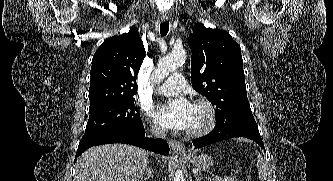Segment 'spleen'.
Listing matches in <instances>:
<instances>
[{"mask_svg": "<svg viewBox=\"0 0 333 181\" xmlns=\"http://www.w3.org/2000/svg\"><path fill=\"white\" fill-rule=\"evenodd\" d=\"M256 154L258 158L257 160L258 178L261 181H265L267 178V163L258 152H256Z\"/></svg>", "mask_w": 333, "mask_h": 181, "instance_id": "obj_1", "label": "spleen"}]
</instances>
